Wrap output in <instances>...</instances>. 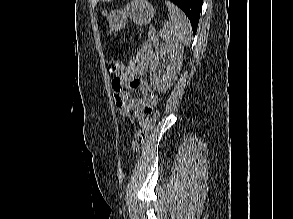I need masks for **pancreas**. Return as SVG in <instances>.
<instances>
[{"instance_id": "cf45deb5", "label": "pancreas", "mask_w": 293, "mask_h": 219, "mask_svg": "<svg viewBox=\"0 0 293 219\" xmlns=\"http://www.w3.org/2000/svg\"><path fill=\"white\" fill-rule=\"evenodd\" d=\"M148 39L150 41V43L154 46H158L159 43V36L158 34L155 32V30L150 29L148 32Z\"/></svg>"}]
</instances>
